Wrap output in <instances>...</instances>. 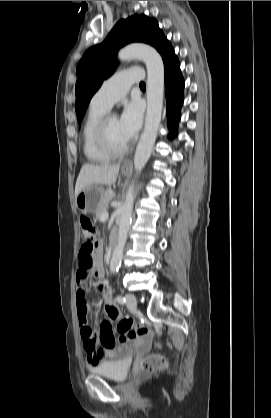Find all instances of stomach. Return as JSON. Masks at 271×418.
I'll use <instances>...</instances> for the list:
<instances>
[{"label":"stomach","instance_id":"obj_1","mask_svg":"<svg viewBox=\"0 0 271 418\" xmlns=\"http://www.w3.org/2000/svg\"><path fill=\"white\" fill-rule=\"evenodd\" d=\"M122 173L127 174L128 170L122 168ZM104 188L100 184H93L83 189L76 197L75 203L82 213H95L104 195Z\"/></svg>","mask_w":271,"mask_h":418}]
</instances>
